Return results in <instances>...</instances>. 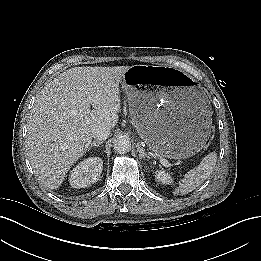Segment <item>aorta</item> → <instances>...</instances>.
Here are the masks:
<instances>
[{
	"label": "aorta",
	"mask_w": 261,
	"mask_h": 261,
	"mask_svg": "<svg viewBox=\"0 0 261 261\" xmlns=\"http://www.w3.org/2000/svg\"><path fill=\"white\" fill-rule=\"evenodd\" d=\"M131 149V143L129 138L120 136L114 140V150L118 154H125Z\"/></svg>",
	"instance_id": "obj_1"
}]
</instances>
